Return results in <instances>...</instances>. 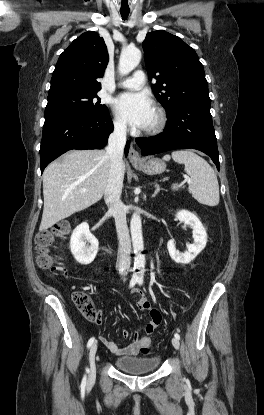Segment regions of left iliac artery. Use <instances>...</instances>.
<instances>
[{
	"label": "left iliac artery",
	"mask_w": 264,
	"mask_h": 415,
	"mask_svg": "<svg viewBox=\"0 0 264 415\" xmlns=\"http://www.w3.org/2000/svg\"><path fill=\"white\" fill-rule=\"evenodd\" d=\"M137 282H138V284H139V285H142V283H143V278H141V277H140V278H138V281H137ZM174 336H175V338L180 339V335H179L178 333H175V335H174Z\"/></svg>",
	"instance_id": "44dca946"
}]
</instances>
